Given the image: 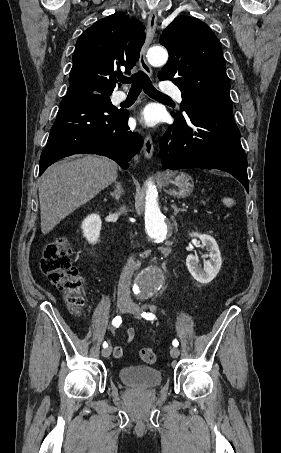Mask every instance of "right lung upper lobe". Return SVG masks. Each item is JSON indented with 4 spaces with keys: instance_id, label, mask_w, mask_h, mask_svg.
I'll return each instance as SVG.
<instances>
[{
    "instance_id": "obj_1",
    "label": "right lung upper lobe",
    "mask_w": 281,
    "mask_h": 453,
    "mask_svg": "<svg viewBox=\"0 0 281 453\" xmlns=\"http://www.w3.org/2000/svg\"><path fill=\"white\" fill-rule=\"evenodd\" d=\"M143 30L140 21L120 12L88 28L76 43L66 96H110L117 82L114 74L120 68L127 73L138 61Z\"/></svg>"
}]
</instances>
